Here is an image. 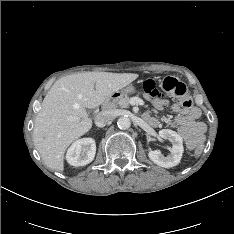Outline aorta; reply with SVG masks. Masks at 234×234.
Returning <instances> with one entry per match:
<instances>
[{
  "mask_svg": "<svg viewBox=\"0 0 234 234\" xmlns=\"http://www.w3.org/2000/svg\"><path fill=\"white\" fill-rule=\"evenodd\" d=\"M117 125L120 129L126 130L131 126V120L128 116H121L117 121Z\"/></svg>",
  "mask_w": 234,
  "mask_h": 234,
  "instance_id": "obj_1",
  "label": "aorta"
}]
</instances>
